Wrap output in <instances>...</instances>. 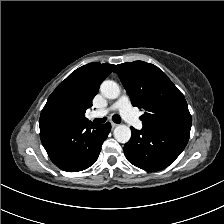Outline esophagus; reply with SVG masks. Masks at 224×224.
I'll return each mask as SVG.
<instances>
[{"label": "esophagus", "instance_id": "34e87169", "mask_svg": "<svg viewBox=\"0 0 224 224\" xmlns=\"http://www.w3.org/2000/svg\"><path fill=\"white\" fill-rule=\"evenodd\" d=\"M111 126H112V128H115V127L118 126V124L117 123H114V122H111Z\"/></svg>", "mask_w": 224, "mask_h": 224}]
</instances>
